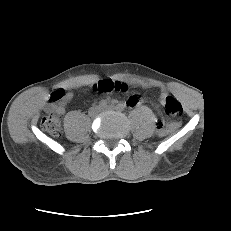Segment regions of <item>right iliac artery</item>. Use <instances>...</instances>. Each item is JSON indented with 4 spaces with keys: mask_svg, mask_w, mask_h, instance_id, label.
<instances>
[{
    "mask_svg": "<svg viewBox=\"0 0 231 231\" xmlns=\"http://www.w3.org/2000/svg\"><path fill=\"white\" fill-rule=\"evenodd\" d=\"M113 103H117V101H113ZM99 106L100 107H106L107 106V101L101 100L100 103H99Z\"/></svg>",
    "mask_w": 231,
    "mask_h": 231,
    "instance_id": "82829eb1",
    "label": "right iliac artery"
}]
</instances>
